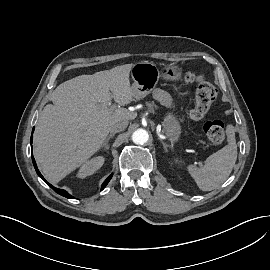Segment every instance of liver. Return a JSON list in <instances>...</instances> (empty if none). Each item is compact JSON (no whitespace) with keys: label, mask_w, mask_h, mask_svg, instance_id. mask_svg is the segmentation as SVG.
<instances>
[{"label":"liver","mask_w":270,"mask_h":270,"mask_svg":"<svg viewBox=\"0 0 270 270\" xmlns=\"http://www.w3.org/2000/svg\"><path fill=\"white\" fill-rule=\"evenodd\" d=\"M133 64L116 66L61 83L44 107L34 133V157L45 178L57 183L80 167L105 142L112 124L137 117L129 74Z\"/></svg>","instance_id":"obj_1"}]
</instances>
